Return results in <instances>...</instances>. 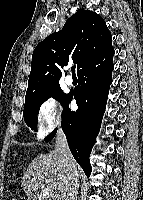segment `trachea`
I'll use <instances>...</instances> for the list:
<instances>
[{"label": "trachea", "mask_w": 143, "mask_h": 200, "mask_svg": "<svg viewBox=\"0 0 143 200\" xmlns=\"http://www.w3.org/2000/svg\"><path fill=\"white\" fill-rule=\"evenodd\" d=\"M71 71H72V74L75 75V66H72Z\"/></svg>", "instance_id": "3493384b"}]
</instances>
